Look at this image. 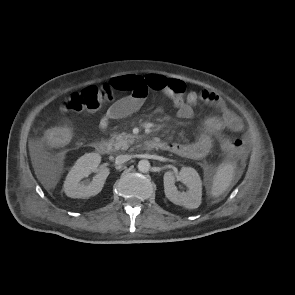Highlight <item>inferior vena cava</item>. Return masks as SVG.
Listing matches in <instances>:
<instances>
[{
    "mask_svg": "<svg viewBox=\"0 0 295 295\" xmlns=\"http://www.w3.org/2000/svg\"><path fill=\"white\" fill-rule=\"evenodd\" d=\"M131 159L130 155H119L116 157L115 163L116 164H123Z\"/></svg>",
    "mask_w": 295,
    "mask_h": 295,
    "instance_id": "602c4592",
    "label": "inferior vena cava"
}]
</instances>
